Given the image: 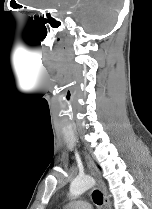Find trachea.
Listing matches in <instances>:
<instances>
[{"label": "trachea", "instance_id": "1", "mask_svg": "<svg viewBox=\"0 0 152 209\" xmlns=\"http://www.w3.org/2000/svg\"><path fill=\"white\" fill-rule=\"evenodd\" d=\"M92 198H93V201L98 204V205H101L103 203V195L100 191L98 190H95L92 194Z\"/></svg>", "mask_w": 152, "mask_h": 209}]
</instances>
